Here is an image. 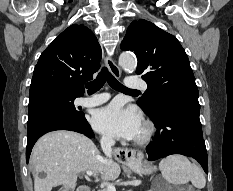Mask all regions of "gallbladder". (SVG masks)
I'll list each match as a JSON object with an SVG mask.
<instances>
[{
	"label": "gallbladder",
	"mask_w": 233,
	"mask_h": 191,
	"mask_svg": "<svg viewBox=\"0 0 233 191\" xmlns=\"http://www.w3.org/2000/svg\"><path fill=\"white\" fill-rule=\"evenodd\" d=\"M59 191H70V190H66L64 188H61Z\"/></svg>",
	"instance_id": "bac80fb5"
}]
</instances>
